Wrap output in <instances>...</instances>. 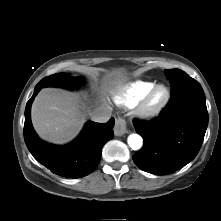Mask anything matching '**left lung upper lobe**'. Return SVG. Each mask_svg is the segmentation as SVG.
Returning <instances> with one entry per match:
<instances>
[{
  "mask_svg": "<svg viewBox=\"0 0 221 221\" xmlns=\"http://www.w3.org/2000/svg\"><path fill=\"white\" fill-rule=\"evenodd\" d=\"M164 74L171 84V95L183 88L199 84L184 71L179 69L164 70Z\"/></svg>",
  "mask_w": 221,
  "mask_h": 221,
  "instance_id": "obj_1",
  "label": "left lung upper lobe"
}]
</instances>
